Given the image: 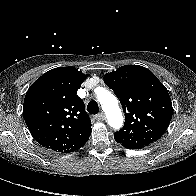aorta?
Instances as JSON below:
<instances>
[{
    "mask_svg": "<svg viewBox=\"0 0 196 196\" xmlns=\"http://www.w3.org/2000/svg\"><path fill=\"white\" fill-rule=\"evenodd\" d=\"M97 98L107 116L108 124L114 129H119L123 124V116L116 97L110 91L101 89Z\"/></svg>",
    "mask_w": 196,
    "mask_h": 196,
    "instance_id": "762f6f07",
    "label": "aorta"
}]
</instances>
